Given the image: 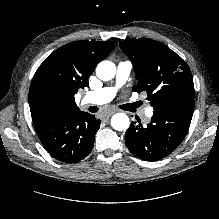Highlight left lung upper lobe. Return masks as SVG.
<instances>
[{
	"label": "left lung upper lobe",
	"instance_id": "5c2ea615",
	"mask_svg": "<svg viewBox=\"0 0 219 219\" xmlns=\"http://www.w3.org/2000/svg\"><path fill=\"white\" fill-rule=\"evenodd\" d=\"M120 47L132 62L138 79L133 91H145L154 111L194 108L193 78L179 55L164 44L146 38L124 40Z\"/></svg>",
	"mask_w": 219,
	"mask_h": 219
}]
</instances>
